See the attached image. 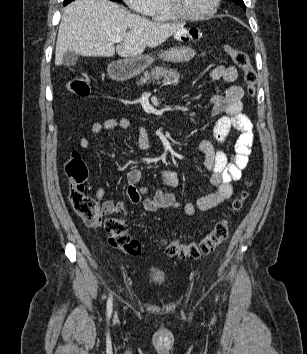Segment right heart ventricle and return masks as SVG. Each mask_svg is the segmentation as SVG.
<instances>
[{
	"label": "right heart ventricle",
	"mask_w": 307,
	"mask_h": 354,
	"mask_svg": "<svg viewBox=\"0 0 307 354\" xmlns=\"http://www.w3.org/2000/svg\"><path fill=\"white\" fill-rule=\"evenodd\" d=\"M148 16L155 22H169L174 17L169 12L165 0H154Z\"/></svg>",
	"instance_id": "obj_1"
}]
</instances>
